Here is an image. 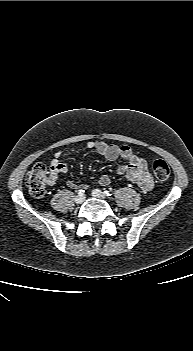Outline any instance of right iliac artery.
Listing matches in <instances>:
<instances>
[{"instance_id": "right-iliac-artery-1", "label": "right iliac artery", "mask_w": 193, "mask_h": 351, "mask_svg": "<svg viewBox=\"0 0 193 351\" xmlns=\"http://www.w3.org/2000/svg\"><path fill=\"white\" fill-rule=\"evenodd\" d=\"M84 193H85V190H84V189L78 190V195H84Z\"/></svg>"}]
</instances>
